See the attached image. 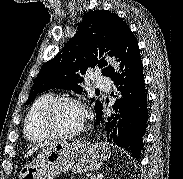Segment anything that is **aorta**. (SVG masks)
Listing matches in <instances>:
<instances>
[{"mask_svg": "<svg viewBox=\"0 0 183 179\" xmlns=\"http://www.w3.org/2000/svg\"><path fill=\"white\" fill-rule=\"evenodd\" d=\"M106 61L108 65L112 66L116 71L119 70V63L114 58L106 57Z\"/></svg>", "mask_w": 183, "mask_h": 179, "instance_id": "1", "label": "aorta"}]
</instances>
